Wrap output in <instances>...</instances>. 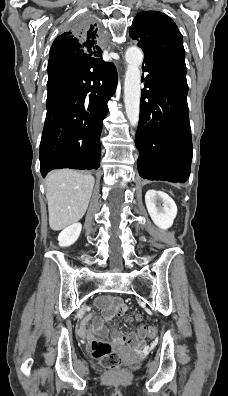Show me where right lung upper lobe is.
<instances>
[{
	"instance_id": "1",
	"label": "right lung upper lobe",
	"mask_w": 228,
	"mask_h": 396,
	"mask_svg": "<svg viewBox=\"0 0 228 396\" xmlns=\"http://www.w3.org/2000/svg\"><path fill=\"white\" fill-rule=\"evenodd\" d=\"M76 58H102L95 26L80 27L58 36L50 49L48 71L61 70L58 61L64 63Z\"/></svg>"
}]
</instances>
